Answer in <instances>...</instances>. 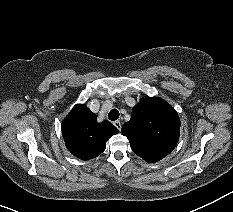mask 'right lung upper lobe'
Segmentation results:
<instances>
[{"instance_id": "right-lung-upper-lobe-1", "label": "right lung upper lobe", "mask_w": 233, "mask_h": 212, "mask_svg": "<svg viewBox=\"0 0 233 212\" xmlns=\"http://www.w3.org/2000/svg\"><path fill=\"white\" fill-rule=\"evenodd\" d=\"M61 127L66 147L82 160L100 155L108 139L118 133V129L109 121L98 123L97 116L84 104L75 105Z\"/></svg>"}]
</instances>
